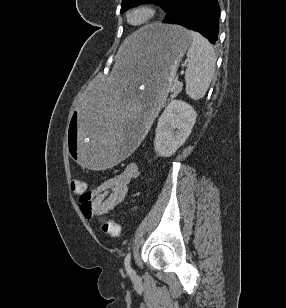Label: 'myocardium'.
I'll use <instances>...</instances> for the list:
<instances>
[{
    "instance_id": "obj_1",
    "label": "myocardium",
    "mask_w": 286,
    "mask_h": 308,
    "mask_svg": "<svg viewBox=\"0 0 286 308\" xmlns=\"http://www.w3.org/2000/svg\"><path fill=\"white\" fill-rule=\"evenodd\" d=\"M138 11L144 12L146 14V17L140 23H132L130 20V17L133 13L138 12ZM156 15H157L156 8L153 5L147 3V4L138 5L130 9L127 12L126 19H127V22L134 27H144L150 24L155 19Z\"/></svg>"
}]
</instances>
